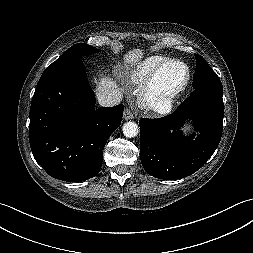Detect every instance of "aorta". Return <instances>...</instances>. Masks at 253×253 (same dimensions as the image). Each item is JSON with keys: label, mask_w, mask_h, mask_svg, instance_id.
<instances>
[{"label": "aorta", "mask_w": 253, "mask_h": 253, "mask_svg": "<svg viewBox=\"0 0 253 253\" xmlns=\"http://www.w3.org/2000/svg\"><path fill=\"white\" fill-rule=\"evenodd\" d=\"M139 132L138 125L135 122H126L123 125V134L128 138H133L137 136Z\"/></svg>", "instance_id": "aorta-1"}]
</instances>
